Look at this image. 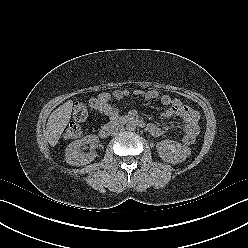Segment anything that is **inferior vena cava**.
I'll return each instance as SVG.
<instances>
[{
    "mask_svg": "<svg viewBox=\"0 0 248 248\" xmlns=\"http://www.w3.org/2000/svg\"><path fill=\"white\" fill-rule=\"evenodd\" d=\"M123 130V127L121 126H117L114 128V133L118 132V131H122Z\"/></svg>",
    "mask_w": 248,
    "mask_h": 248,
    "instance_id": "1",
    "label": "inferior vena cava"
}]
</instances>
